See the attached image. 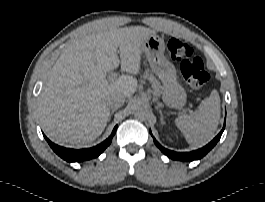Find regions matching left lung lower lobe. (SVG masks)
<instances>
[{
    "label": "left lung lower lobe",
    "mask_w": 265,
    "mask_h": 202,
    "mask_svg": "<svg viewBox=\"0 0 265 202\" xmlns=\"http://www.w3.org/2000/svg\"><path fill=\"white\" fill-rule=\"evenodd\" d=\"M224 129H225V122H224V126L221 132L210 143H208L203 148H200L198 150L191 151V152H174V151L168 150L164 148L163 146H161L156 141L155 138H153V140H154L155 145L170 159L178 160V161H193V160H199L202 157H204L217 144Z\"/></svg>",
    "instance_id": "left-lung-lower-lobe-1"
}]
</instances>
